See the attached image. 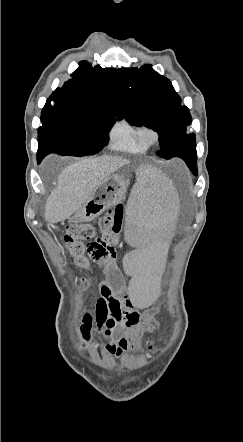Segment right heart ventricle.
Masks as SVG:
<instances>
[{"label": "right heart ventricle", "mask_w": 243, "mask_h": 442, "mask_svg": "<svg viewBox=\"0 0 243 442\" xmlns=\"http://www.w3.org/2000/svg\"><path fill=\"white\" fill-rule=\"evenodd\" d=\"M142 127L126 116L120 117L110 131V147L129 154L145 153L148 146L141 138Z\"/></svg>", "instance_id": "right-heart-ventricle-1"}]
</instances>
